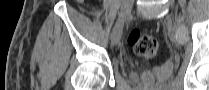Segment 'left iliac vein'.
<instances>
[{
  "label": "left iliac vein",
  "mask_w": 209,
  "mask_h": 90,
  "mask_svg": "<svg viewBox=\"0 0 209 90\" xmlns=\"http://www.w3.org/2000/svg\"><path fill=\"white\" fill-rule=\"evenodd\" d=\"M170 6L173 8L174 7V3L172 1H170Z\"/></svg>",
  "instance_id": "4c4485c4"
}]
</instances>
